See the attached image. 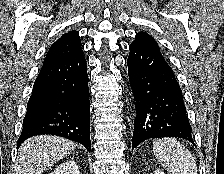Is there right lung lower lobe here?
<instances>
[{"label":"right lung lower lobe","mask_w":224,"mask_h":174,"mask_svg":"<svg viewBox=\"0 0 224 174\" xmlns=\"http://www.w3.org/2000/svg\"><path fill=\"white\" fill-rule=\"evenodd\" d=\"M90 103L83 53L43 64L27 104L17 147L40 134L62 136L90 151Z\"/></svg>","instance_id":"1"}]
</instances>
